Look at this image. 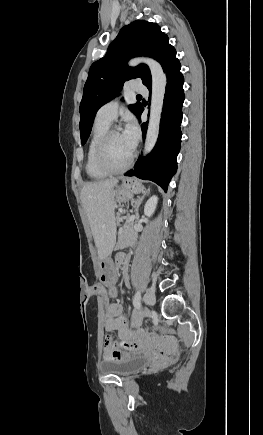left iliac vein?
Here are the masks:
<instances>
[{
	"instance_id": "1",
	"label": "left iliac vein",
	"mask_w": 263,
	"mask_h": 435,
	"mask_svg": "<svg viewBox=\"0 0 263 435\" xmlns=\"http://www.w3.org/2000/svg\"><path fill=\"white\" fill-rule=\"evenodd\" d=\"M143 301L146 304L153 306L156 302L155 294L151 291H147L143 296Z\"/></svg>"
}]
</instances>
